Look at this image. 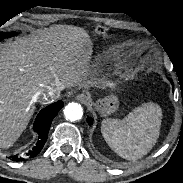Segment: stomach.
<instances>
[{"mask_svg": "<svg viewBox=\"0 0 183 183\" xmlns=\"http://www.w3.org/2000/svg\"><path fill=\"white\" fill-rule=\"evenodd\" d=\"M100 110L102 114L106 115L113 112L117 106V97L115 95H109L102 98L100 101Z\"/></svg>", "mask_w": 183, "mask_h": 183, "instance_id": "1", "label": "stomach"}]
</instances>
